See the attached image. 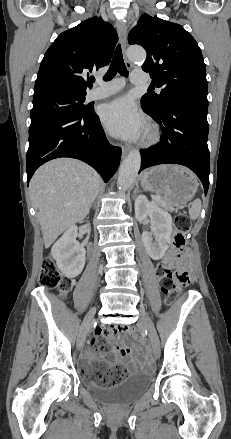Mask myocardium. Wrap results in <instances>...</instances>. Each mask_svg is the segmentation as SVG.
<instances>
[{
	"mask_svg": "<svg viewBox=\"0 0 231 439\" xmlns=\"http://www.w3.org/2000/svg\"><path fill=\"white\" fill-rule=\"evenodd\" d=\"M160 139V131L159 128L156 125H149L146 129L144 138H143V144L145 146H150L153 144H156Z\"/></svg>",
	"mask_w": 231,
	"mask_h": 439,
	"instance_id": "obj_1",
	"label": "myocardium"
}]
</instances>
